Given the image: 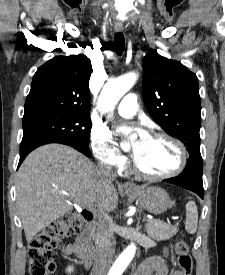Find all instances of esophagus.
I'll list each match as a JSON object with an SVG mask.
<instances>
[{
	"instance_id": "34e87169",
	"label": "esophagus",
	"mask_w": 225,
	"mask_h": 275,
	"mask_svg": "<svg viewBox=\"0 0 225 275\" xmlns=\"http://www.w3.org/2000/svg\"><path fill=\"white\" fill-rule=\"evenodd\" d=\"M114 29H115L116 32H121L123 30V26L122 25H115ZM124 188L125 189H135L136 185L133 182L128 181V182L124 183Z\"/></svg>"
}]
</instances>
